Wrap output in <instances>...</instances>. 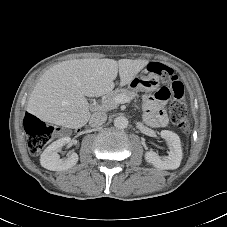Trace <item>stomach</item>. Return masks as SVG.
I'll list each match as a JSON object with an SVG mask.
<instances>
[{
	"label": "stomach",
	"instance_id": "obj_1",
	"mask_svg": "<svg viewBox=\"0 0 227 227\" xmlns=\"http://www.w3.org/2000/svg\"><path fill=\"white\" fill-rule=\"evenodd\" d=\"M160 86L159 77L156 74L148 76L137 75L128 84V87L133 91L153 92Z\"/></svg>",
	"mask_w": 227,
	"mask_h": 227
}]
</instances>
